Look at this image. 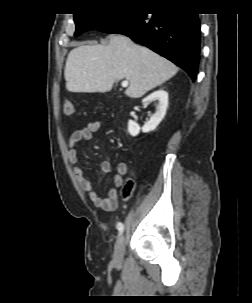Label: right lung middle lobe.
Here are the masks:
<instances>
[{
  "mask_svg": "<svg viewBox=\"0 0 252 303\" xmlns=\"http://www.w3.org/2000/svg\"><path fill=\"white\" fill-rule=\"evenodd\" d=\"M127 13H91V14H74V21L76 24L75 35H80L89 30H98L113 21H116L126 15Z\"/></svg>",
  "mask_w": 252,
  "mask_h": 303,
  "instance_id": "right-lung-middle-lobe-1",
  "label": "right lung middle lobe"
}]
</instances>
